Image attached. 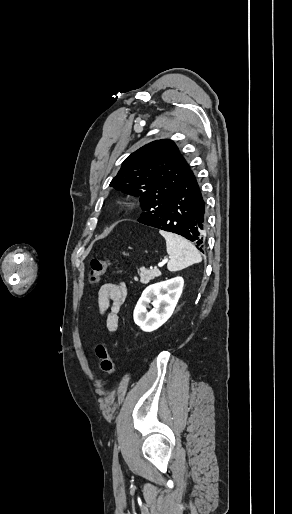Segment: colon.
I'll list each match as a JSON object with an SVG mask.
<instances>
[{
  "label": "colon",
  "instance_id": "colon-1",
  "mask_svg": "<svg viewBox=\"0 0 292 514\" xmlns=\"http://www.w3.org/2000/svg\"><path fill=\"white\" fill-rule=\"evenodd\" d=\"M110 260L106 257L94 258L88 269V279L90 283L96 284L109 268ZM96 356L99 360L101 370L109 377H114L117 373L116 365L110 353L109 344L100 342L96 346Z\"/></svg>",
  "mask_w": 292,
  "mask_h": 514
}]
</instances>
